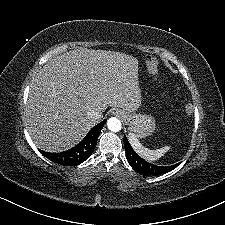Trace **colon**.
<instances>
[{"label":"colon","instance_id":"obj_1","mask_svg":"<svg viewBox=\"0 0 225 225\" xmlns=\"http://www.w3.org/2000/svg\"><path fill=\"white\" fill-rule=\"evenodd\" d=\"M147 66H148L149 68L156 67V66H157V62H156L155 60H153V59H149V60L147 61Z\"/></svg>","mask_w":225,"mask_h":225}]
</instances>
